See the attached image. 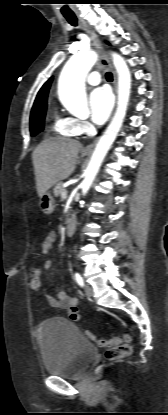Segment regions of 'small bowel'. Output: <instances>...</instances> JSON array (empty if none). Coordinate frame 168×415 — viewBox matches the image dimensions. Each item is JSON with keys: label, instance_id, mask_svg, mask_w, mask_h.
I'll use <instances>...</instances> for the list:
<instances>
[{"label": "small bowel", "instance_id": "obj_1", "mask_svg": "<svg viewBox=\"0 0 168 415\" xmlns=\"http://www.w3.org/2000/svg\"><path fill=\"white\" fill-rule=\"evenodd\" d=\"M56 233L50 232L41 244V250L45 255H50L53 245L56 242ZM52 266L51 260H46L43 263V268L49 270ZM45 299L48 303L57 309L68 310L70 317L73 320L79 318L78 314V299L75 296L69 295L66 291H59L54 297L49 291L43 292Z\"/></svg>", "mask_w": 168, "mask_h": 415}]
</instances>
